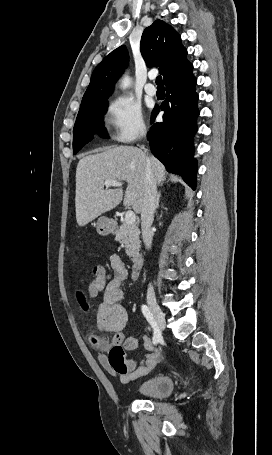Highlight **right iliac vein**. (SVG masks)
<instances>
[{"label": "right iliac vein", "mask_w": 272, "mask_h": 455, "mask_svg": "<svg viewBox=\"0 0 272 455\" xmlns=\"http://www.w3.org/2000/svg\"><path fill=\"white\" fill-rule=\"evenodd\" d=\"M148 305H149L151 312L154 315V318L157 322L159 329L164 330L165 326H166V321H165V316H164L161 308L159 307V305L157 304V302L154 299H149Z\"/></svg>", "instance_id": "63e3f726"}]
</instances>
